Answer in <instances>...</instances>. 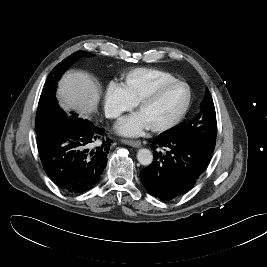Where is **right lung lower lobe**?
Masks as SVG:
<instances>
[{
    "instance_id": "98d812e1",
    "label": "right lung lower lobe",
    "mask_w": 267,
    "mask_h": 267,
    "mask_svg": "<svg viewBox=\"0 0 267 267\" xmlns=\"http://www.w3.org/2000/svg\"><path fill=\"white\" fill-rule=\"evenodd\" d=\"M103 129L88 119L54 118L37 134L43 168L63 191L83 193L93 188L107 164L111 145Z\"/></svg>"
}]
</instances>
